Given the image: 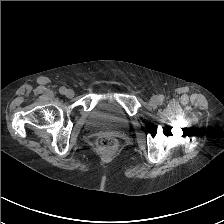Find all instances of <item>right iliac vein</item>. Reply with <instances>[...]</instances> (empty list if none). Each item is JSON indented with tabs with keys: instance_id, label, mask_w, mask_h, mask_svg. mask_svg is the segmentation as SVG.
I'll return each mask as SVG.
<instances>
[{
	"instance_id": "obj_1",
	"label": "right iliac vein",
	"mask_w": 224,
	"mask_h": 224,
	"mask_svg": "<svg viewBox=\"0 0 224 224\" xmlns=\"http://www.w3.org/2000/svg\"><path fill=\"white\" fill-rule=\"evenodd\" d=\"M74 91L72 90V89H68L67 91H66V96L68 97V98H72L73 96H74Z\"/></svg>"
}]
</instances>
